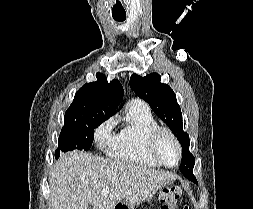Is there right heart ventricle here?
Segmentation results:
<instances>
[{"label":"right heart ventricle","mask_w":253,"mask_h":209,"mask_svg":"<svg viewBox=\"0 0 253 209\" xmlns=\"http://www.w3.org/2000/svg\"><path fill=\"white\" fill-rule=\"evenodd\" d=\"M157 127V120L144 102H129L124 122L109 146L110 154L118 160L143 167H158L145 149L149 134Z\"/></svg>","instance_id":"e07e8e85"}]
</instances>
